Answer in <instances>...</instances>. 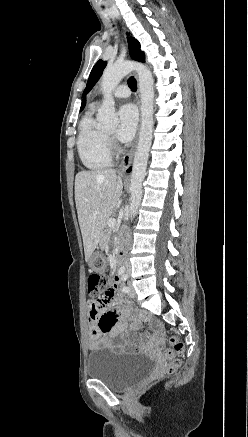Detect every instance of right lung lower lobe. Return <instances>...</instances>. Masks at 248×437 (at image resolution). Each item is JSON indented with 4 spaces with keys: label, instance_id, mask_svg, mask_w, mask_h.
<instances>
[{
    "label": "right lung lower lobe",
    "instance_id": "98d812e1",
    "mask_svg": "<svg viewBox=\"0 0 248 437\" xmlns=\"http://www.w3.org/2000/svg\"><path fill=\"white\" fill-rule=\"evenodd\" d=\"M130 171H131V168L127 170V172H130Z\"/></svg>",
    "mask_w": 248,
    "mask_h": 437
}]
</instances>
